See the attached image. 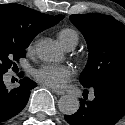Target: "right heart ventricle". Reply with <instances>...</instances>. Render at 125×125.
I'll list each match as a JSON object with an SVG mask.
<instances>
[{
	"instance_id": "e07e8e85",
	"label": "right heart ventricle",
	"mask_w": 125,
	"mask_h": 125,
	"mask_svg": "<svg viewBox=\"0 0 125 125\" xmlns=\"http://www.w3.org/2000/svg\"><path fill=\"white\" fill-rule=\"evenodd\" d=\"M58 38L62 45L67 49L75 47L79 41V36L76 31L70 28H63L58 32Z\"/></svg>"
}]
</instances>
